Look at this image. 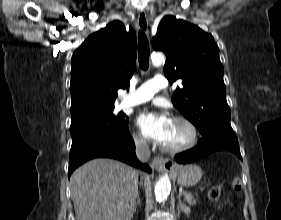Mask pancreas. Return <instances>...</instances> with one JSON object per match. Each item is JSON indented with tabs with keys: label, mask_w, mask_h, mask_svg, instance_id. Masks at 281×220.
<instances>
[{
	"label": "pancreas",
	"mask_w": 281,
	"mask_h": 220,
	"mask_svg": "<svg viewBox=\"0 0 281 220\" xmlns=\"http://www.w3.org/2000/svg\"><path fill=\"white\" fill-rule=\"evenodd\" d=\"M183 195L189 205L196 204V197L192 193L184 192Z\"/></svg>",
	"instance_id": "cf45deb5"
}]
</instances>
